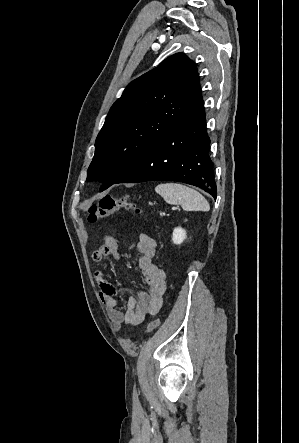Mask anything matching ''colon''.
Masks as SVG:
<instances>
[{"instance_id":"5ec220e1","label":"colon","mask_w":299,"mask_h":443,"mask_svg":"<svg viewBox=\"0 0 299 443\" xmlns=\"http://www.w3.org/2000/svg\"><path fill=\"white\" fill-rule=\"evenodd\" d=\"M120 210H130L136 213L142 212L138 205L130 198L116 199L110 195H104L97 204H93L88 208V221L95 223ZM160 324V318H155L147 325V332L154 331Z\"/></svg>"}]
</instances>
